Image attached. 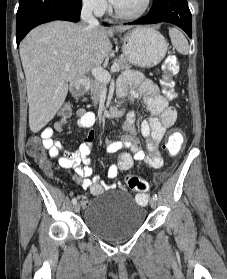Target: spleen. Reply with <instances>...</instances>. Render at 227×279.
Listing matches in <instances>:
<instances>
[{"mask_svg": "<svg viewBox=\"0 0 227 279\" xmlns=\"http://www.w3.org/2000/svg\"><path fill=\"white\" fill-rule=\"evenodd\" d=\"M169 36L172 42V45L176 48V50L186 55L188 54L189 45L187 39L177 28H169Z\"/></svg>", "mask_w": 227, "mask_h": 279, "instance_id": "1", "label": "spleen"}]
</instances>
